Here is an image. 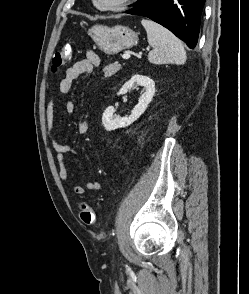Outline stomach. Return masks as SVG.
Segmentation results:
<instances>
[{
  "label": "stomach",
  "instance_id": "stomach-1",
  "mask_svg": "<svg viewBox=\"0 0 249 294\" xmlns=\"http://www.w3.org/2000/svg\"><path fill=\"white\" fill-rule=\"evenodd\" d=\"M88 34L101 51L109 55L116 54L138 43L137 33L129 27L122 25H116L111 28L95 25L89 29Z\"/></svg>",
  "mask_w": 249,
  "mask_h": 294
}]
</instances>
